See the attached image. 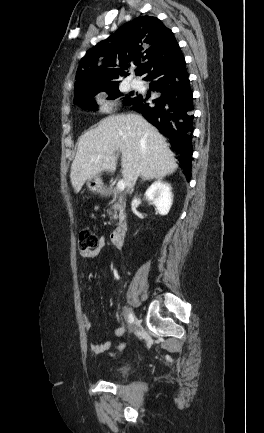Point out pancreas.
<instances>
[{
	"label": "pancreas",
	"instance_id": "pancreas-1",
	"mask_svg": "<svg viewBox=\"0 0 264 433\" xmlns=\"http://www.w3.org/2000/svg\"><path fill=\"white\" fill-rule=\"evenodd\" d=\"M111 210L108 211V214L111 216V219H121L124 216V211L126 207V202L123 196H119L118 202H116V197L113 199Z\"/></svg>",
	"mask_w": 264,
	"mask_h": 433
}]
</instances>
